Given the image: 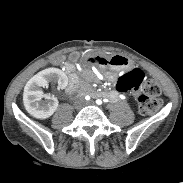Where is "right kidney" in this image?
<instances>
[{
  "mask_svg": "<svg viewBox=\"0 0 183 183\" xmlns=\"http://www.w3.org/2000/svg\"><path fill=\"white\" fill-rule=\"evenodd\" d=\"M49 82L57 83L59 89H64L67 86L68 78L61 70L48 68L33 76L24 88L25 109L37 119L49 118L58 107L57 98L42 91V87H48Z\"/></svg>",
  "mask_w": 183,
  "mask_h": 183,
  "instance_id": "obj_1",
  "label": "right kidney"
}]
</instances>
